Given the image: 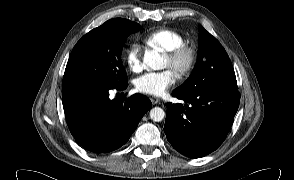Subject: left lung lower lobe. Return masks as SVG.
I'll use <instances>...</instances> for the list:
<instances>
[{
	"label": "left lung lower lobe",
	"mask_w": 294,
	"mask_h": 180,
	"mask_svg": "<svg viewBox=\"0 0 294 180\" xmlns=\"http://www.w3.org/2000/svg\"><path fill=\"white\" fill-rule=\"evenodd\" d=\"M185 105L167 103L164 132L167 140L182 155L203 157L225 140L239 107L238 91L213 89L172 92Z\"/></svg>",
	"instance_id": "0a47b994"
}]
</instances>
